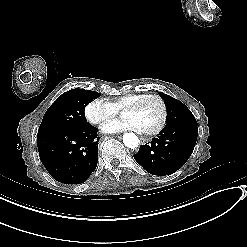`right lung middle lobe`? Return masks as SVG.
Instances as JSON below:
<instances>
[{"label": "right lung middle lobe", "mask_w": 247, "mask_h": 247, "mask_svg": "<svg viewBox=\"0 0 247 247\" xmlns=\"http://www.w3.org/2000/svg\"><path fill=\"white\" fill-rule=\"evenodd\" d=\"M100 93L72 89L57 98V100L46 111L38 134L58 129L83 128L88 125L84 118L86 105Z\"/></svg>", "instance_id": "dd1d6c3e"}]
</instances>
